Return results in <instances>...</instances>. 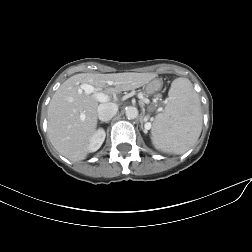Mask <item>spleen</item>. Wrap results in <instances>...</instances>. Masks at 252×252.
Masks as SVG:
<instances>
[{"mask_svg":"<svg viewBox=\"0 0 252 252\" xmlns=\"http://www.w3.org/2000/svg\"><path fill=\"white\" fill-rule=\"evenodd\" d=\"M202 131L201 103L187 78L175 79L167 104L151 129L154 146L165 153L183 154L198 140Z\"/></svg>","mask_w":252,"mask_h":252,"instance_id":"3e777b00","label":"spleen"}]
</instances>
